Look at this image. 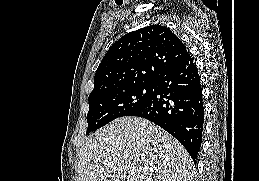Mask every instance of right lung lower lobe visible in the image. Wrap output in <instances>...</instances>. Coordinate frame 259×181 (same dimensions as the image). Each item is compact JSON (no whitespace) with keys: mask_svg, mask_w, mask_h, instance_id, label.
Returning a JSON list of instances; mask_svg holds the SVG:
<instances>
[{"mask_svg":"<svg viewBox=\"0 0 259 181\" xmlns=\"http://www.w3.org/2000/svg\"><path fill=\"white\" fill-rule=\"evenodd\" d=\"M147 102L130 116L150 120L173 135L195 162L202 142L204 107L200 77L188 55L153 82Z\"/></svg>","mask_w":259,"mask_h":181,"instance_id":"right-lung-lower-lobe-1","label":"right lung lower lobe"}]
</instances>
